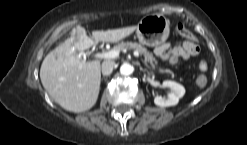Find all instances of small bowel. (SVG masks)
I'll use <instances>...</instances> for the list:
<instances>
[{"label":"small bowel","mask_w":247,"mask_h":145,"mask_svg":"<svg viewBox=\"0 0 247 145\" xmlns=\"http://www.w3.org/2000/svg\"><path fill=\"white\" fill-rule=\"evenodd\" d=\"M155 54L163 60L176 63L179 59L188 60L197 57L200 54V48L195 39L166 42L155 48Z\"/></svg>","instance_id":"1"}]
</instances>
